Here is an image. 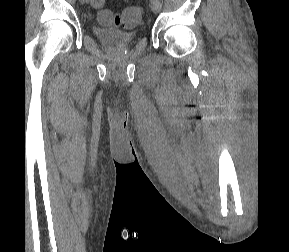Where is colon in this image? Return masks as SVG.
Listing matches in <instances>:
<instances>
[{"label": "colon", "instance_id": "obj_1", "mask_svg": "<svg viewBox=\"0 0 289 252\" xmlns=\"http://www.w3.org/2000/svg\"><path fill=\"white\" fill-rule=\"evenodd\" d=\"M105 0H94L93 7L98 10V20L105 25L122 26L131 28L137 25L143 15V11L138 6L125 9L121 14H114L104 8Z\"/></svg>", "mask_w": 289, "mask_h": 252}]
</instances>
